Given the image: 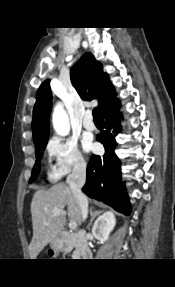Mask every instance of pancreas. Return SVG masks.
Returning a JSON list of instances; mask_svg holds the SVG:
<instances>
[{"mask_svg":"<svg viewBox=\"0 0 175 287\" xmlns=\"http://www.w3.org/2000/svg\"><path fill=\"white\" fill-rule=\"evenodd\" d=\"M74 256H77V252L74 254Z\"/></svg>","mask_w":175,"mask_h":287,"instance_id":"1","label":"pancreas"}]
</instances>
